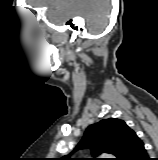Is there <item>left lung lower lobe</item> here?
<instances>
[{
	"label": "left lung lower lobe",
	"instance_id": "1",
	"mask_svg": "<svg viewBox=\"0 0 158 160\" xmlns=\"http://www.w3.org/2000/svg\"><path fill=\"white\" fill-rule=\"evenodd\" d=\"M122 160H150L144 148V143L135 132L129 141L128 148Z\"/></svg>",
	"mask_w": 158,
	"mask_h": 160
}]
</instances>
